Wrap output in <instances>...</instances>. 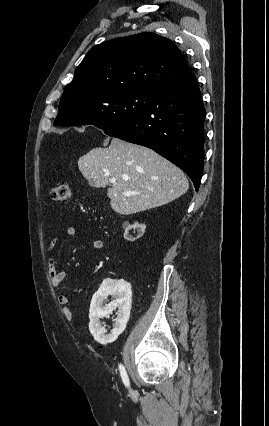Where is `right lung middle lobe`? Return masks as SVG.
<instances>
[{"label":"right lung middle lobe","mask_w":269,"mask_h":426,"mask_svg":"<svg viewBox=\"0 0 269 426\" xmlns=\"http://www.w3.org/2000/svg\"><path fill=\"white\" fill-rule=\"evenodd\" d=\"M152 92L128 90L91 98L72 94L61 98L54 124L94 125L102 130L124 124L148 105Z\"/></svg>","instance_id":"right-lung-middle-lobe-1"}]
</instances>
